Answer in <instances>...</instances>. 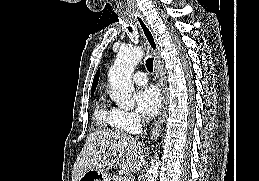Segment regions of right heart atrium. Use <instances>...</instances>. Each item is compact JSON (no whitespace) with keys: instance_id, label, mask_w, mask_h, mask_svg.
<instances>
[{"instance_id":"1","label":"right heart atrium","mask_w":259,"mask_h":181,"mask_svg":"<svg viewBox=\"0 0 259 181\" xmlns=\"http://www.w3.org/2000/svg\"><path fill=\"white\" fill-rule=\"evenodd\" d=\"M121 127L129 132H136L142 125L143 119L133 111L115 108Z\"/></svg>"}]
</instances>
